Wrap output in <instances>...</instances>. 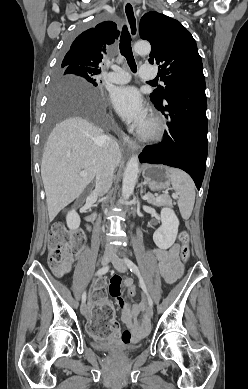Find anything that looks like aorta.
<instances>
[{
    "label": "aorta",
    "mask_w": 248,
    "mask_h": 389,
    "mask_svg": "<svg viewBox=\"0 0 248 389\" xmlns=\"http://www.w3.org/2000/svg\"><path fill=\"white\" fill-rule=\"evenodd\" d=\"M134 51L137 54H149L151 51V46L148 42H137L134 45ZM139 172V158L138 155H133L125 169L123 183H122V197L124 200H127L134 191V187L137 181Z\"/></svg>",
    "instance_id": "aorta-1"
}]
</instances>
